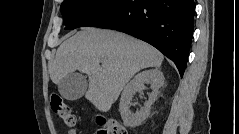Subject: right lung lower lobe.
<instances>
[{
	"label": "right lung lower lobe",
	"instance_id": "1",
	"mask_svg": "<svg viewBox=\"0 0 239 134\" xmlns=\"http://www.w3.org/2000/svg\"><path fill=\"white\" fill-rule=\"evenodd\" d=\"M193 0H116L84 27L114 29L139 38L171 59L181 77L194 29Z\"/></svg>",
	"mask_w": 239,
	"mask_h": 134
}]
</instances>
